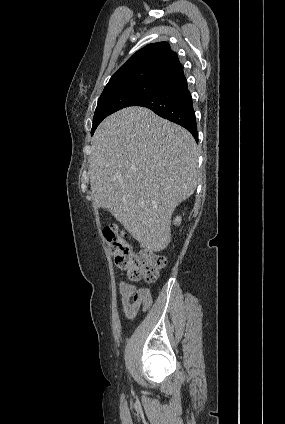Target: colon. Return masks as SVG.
Returning <instances> with one entry per match:
<instances>
[{"instance_id":"5ec220e1","label":"colon","mask_w":285,"mask_h":424,"mask_svg":"<svg viewBox=\"0 0 285 424\" xmlns=\"http://www.w3.org/2000/svg\"><path fill=\"white\" fill-rule=\"evenodd\" d=\"M116 265L128 272L132 281L153 282L159 271L166 266V259L155 252L142 250L137 252L127 241L126 233L116 225H106L102 229Z\"/></svg>"}]
</instances>
